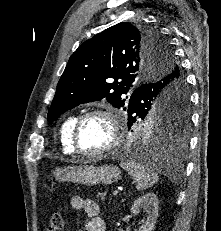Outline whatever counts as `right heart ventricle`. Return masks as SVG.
Here are the masks:
<instances>
[{"mask_svg": "<svg viewBox=\"0 0 221 231\" xmlns=\"http://www.w3.org/2000/svg\"><path fill=\"white\" fill-rule=\"evenodd\" d=\"M76 119V115H71L63 121L60 127V142L62 150L64 153L70 155L74 154V150L71 145V133Z\"/></svg>", "mask_w": 221, "mask_h": 231, "instance_id": "1", "label": "right heart ventricle"}]
</instances>
